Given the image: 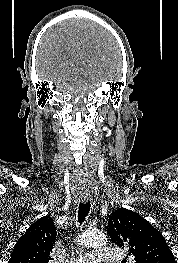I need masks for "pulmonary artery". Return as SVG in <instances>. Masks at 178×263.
<instances>
[{"label":"pulmonary artery","instance_id":"e3ab8cb5","mask_svg":"<svg viewBox=\"0 0 178 263\" xmlns=\"http://www.w3.org/2000/svg\"><path fill=\"white\" fill-rule=\"evenodd\" d=\"M124 256V252L119 248L102 247L81 256L72 258L69 263H118Z\"/></svg>","mask_w":178,"mask_h":263}]
</instances>
